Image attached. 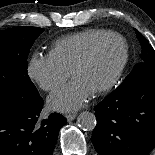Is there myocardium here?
Wrapping results in <instances>:
<instances>
[{"label":"myocardium","mask_w":155,"mask_h":155,"mask_svg":"<svg viewBox=\"0 0 155 155\" xmlns=\"http://www.w3.org/2000/svg\"><path fill=\"white\" fill-rule=\"evenodd\" d=\"M111 40H119L122 42L123 47H124V56L113 78L106 85H104L103 87L98 89L96 92H94L93 95L95 96H99V95L109 92L115 87V85L121 79L124 73V70L127 66V63L129 61V55H130L129 45L126 39L122 35L115 33V32L99 39L89 49V51L77 62V64L74 66V68L71 71L72 77L75 78L77 73H79L84 67H86L94 59V57L96 56L100 48Z\"/></svg>","instance_id":"f54148a6"}]
</instances>
